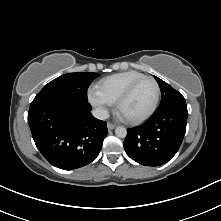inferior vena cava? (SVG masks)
<instances>
[{"label": "inferior vena cava", "mask_w": 221, "mask_h": 221, "mask_svg": "<svg viewBox=\"0 0 221 221\" xmlns=\"http://www.w3.org/2000/svg\"><path fill=\"white\" fill-rule=\"evenodd\" d=\"M92 114L95 118L100 119V120H105L109 118V112L108 110L98 107L92 111Z\"/></svg>", "instance_id": "obj_1"}]
</instances>
